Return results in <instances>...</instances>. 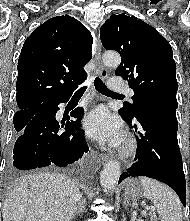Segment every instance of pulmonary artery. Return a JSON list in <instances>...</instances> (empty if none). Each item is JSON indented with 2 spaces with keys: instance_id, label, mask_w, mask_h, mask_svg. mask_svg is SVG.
I'll return each mask as SVG.
<instances>
[{
  "instance_id": "1",
  "label": "pulmonary artery",
  "mask_w": 190,
  "mask_h": 221,
  "mask_svg": "<svg viewBox=\"0 0 190 221\" xmlns=\"http://www.w3.org/2000/svg\"><path fill=\"white\" fill-rule=\"evenodd\" d=\"M109 87H110V89L115 90V91H125L126 90V88L120 78L110 79ZM128 94L131 97L133 95V92L129 91Z\"/></svg>"
}]
</instances>
